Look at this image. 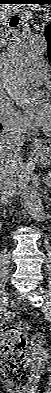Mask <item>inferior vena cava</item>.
<instances>
[{
	"mask_svg": "<svg viewBox=\"0 0 51 393\" xmlns=\"http://www.w3.org/2000/svg\"><path fill=\"white\" fill-rule=\"evenodd\" d=\"M23 144L24 135L20 125L10 122L3 128L0 135V145L2 147L0 152L2 154L11 151L19 155ZM0 190L2 198L12 197L17 191L15 173L3 167L0 171Z\"/></svg>",
	"mask_w": 51,
	"mask_h": 393,
	"instance_id": "inferior-vena-cava-1",
	"label": "inferior vena cava"
}]
</instances>
